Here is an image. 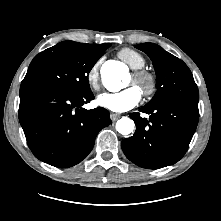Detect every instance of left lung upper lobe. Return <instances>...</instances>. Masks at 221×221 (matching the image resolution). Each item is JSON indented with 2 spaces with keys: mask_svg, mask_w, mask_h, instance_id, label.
<instances>
[{
  "mask_svg": "<svg viewBox=\"0 0 221 221\" xmlns=\"http://www.w3.org/2000/svg\"><path fill=\"white\" fill-rule=\"evenodd\" d=\"M135 47L150 57L156 71L157 92L146 106L177 98L198 101L197 85L182 60L154 43H142Z\"/></svg>",
  "mask_w": 221,
  "mask_h": 221,
  "instance_id": "left-lung-upper-lobe-1",
  "label": "left lung upper lobe"
}]
</instances>
